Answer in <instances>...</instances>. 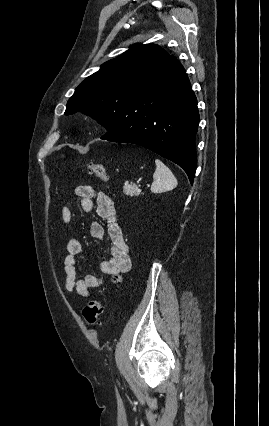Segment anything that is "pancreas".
I'll return each mask as SVG.
<instances>
[{"label":"pancreas","instance_id":"pancreas-1","mask_svg":"<svg viewBox=\"0 0 269 426\" xmlns=\"http://www.w3.org/2000/svg\"><path fill=\"white\" fill-rule=\"evenodd\" d=\"M123 193L125 195H129L131 197L133 196H139L140 192L138 191V187L136 184H128L126 183L123 187Z\"/></svg>","mask_w":269,"mask_h":426}]
</instances>
